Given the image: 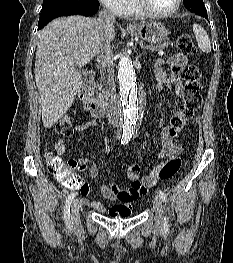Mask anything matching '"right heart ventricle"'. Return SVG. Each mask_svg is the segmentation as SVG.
<instances>
[{
    "label": "right heart ventricle",
    "instance_id": "right-heart-ventricle-1",
    "mask_svg": "<svg viewBox=\"0 0 233 263\" xmlns=\"http://www.w3.org/2000/svg\"><path fill=\"white\" fill-rule=\"evenodd\" d=\"M121 15L135 16V17H141L142 16V14L139 12V10L135 7L133 0H128L125 9L121 12Z\"/></svg>",
    "mask_w": 233,
    "mask_h": 263
}]
</instances>
